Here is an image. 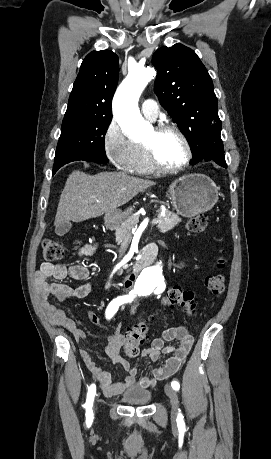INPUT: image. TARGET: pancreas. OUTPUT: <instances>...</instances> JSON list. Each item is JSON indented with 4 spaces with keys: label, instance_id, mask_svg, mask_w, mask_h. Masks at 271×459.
Segmentation results:
<instances>
[{
    "label": "pancreas",
    "instance_id": "pancreas-1",
    "mask_svg": "<svg viewBox=\"0 0 271 459\" xmlns=\"http://www.w3.org/2000/svg\"><path fill=\"white\" fill-rule=\"evenodd\" d=\"M160 231L172 230L178 225L176 220H179L177 214H172L170 210H165L164 216L158 218ZM137 226V220L135 218H128L126 222H123L119 228L116 229V241H121L124 245L130 242L131 229Z\"/></svg>",
    "mask_w": 271,
    "mask_h": 459
}]
</instances>
